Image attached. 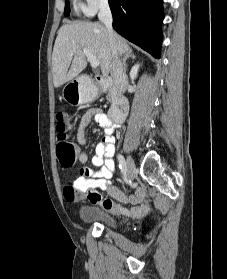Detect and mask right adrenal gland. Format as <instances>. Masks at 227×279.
Listing matches in <instances>:
<instances>
[{"instance_id": "1", "label": "right adrenal gland", "mask_w": 227, "mask_h": 279, "mask_svg": "<svg viewBox=\"0 0 227 279\" xmlns=\"http://www.w3.org/2000/svg\"><path fill=\"white\" fill-rule=\"evenodd\" d=\"M129 58L136 59V56L133 54V51L131 49L127 50L126 53L124 54V57H123V68H124L125 72H126V69H127L126 61Z\"/></svg>"}]
</instances>
